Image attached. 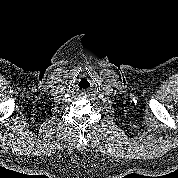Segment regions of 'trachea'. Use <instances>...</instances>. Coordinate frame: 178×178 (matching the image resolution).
Wrapping results in <instances>:
<instances>
[{"mask_svg":"<svg viewBox=\"0 0 178 178\" xmlns=\"http://www.w3.org/2000/svg\"><path fill=\"white\" fill-rule=\"evenodd\" d=\"M78 87L81 90H87L90 87V82L86 79V78H82L79 82H78Z\"/></svg>","mask_w":178,"mask_h":178,"instance_id":"obj_1","label":"trachea"}]
</instances>
